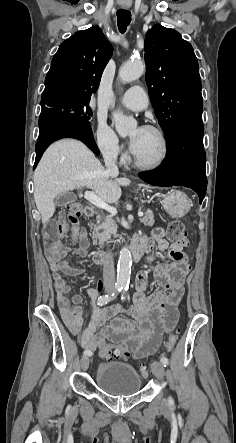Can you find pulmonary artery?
<instances>
[{"instance_id":"obj_1","label":"pulmonary artery","mask_w":236,"mask_h":443,"mask_svg":"<svg viewBox=\"0 0 236 443\" xmlns=\"http://www.w3.org/2000/svg\"><path fill=\"white\" fill-rule=\"evenodd\" d=\"M121 103L132 110H143L148 105V98L143 88L134 86L128 89L120 99Z\"/></svg>"}]
</instances>
